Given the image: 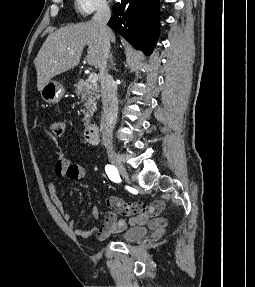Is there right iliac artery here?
<instances>
[{
    "mask_svg": "<svg viewBox=\"0 0 255 287\" xmlns=\"http://www.w3.org/2000/svg\"><path fill=\"white\" fill-rule=\"evenodd\" d=\"M105 171H106V174L111 181H113L115 183H118L121 181L120 176H119V172L115 166L107 164L105 166Z\"/></svg>",
    "mask_w": 255,
    "mask_h": 287,
    "instance_id": "right-iliac-artery-1",
    "label": "right iliac artery"
}]
</instances>
